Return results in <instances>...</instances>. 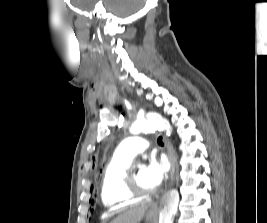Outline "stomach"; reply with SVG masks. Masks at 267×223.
I'll return each mask as SVG.
<instances>
[{
	"instance_id": "stomach-1",
	"label": "stomach",
	"mask_w": 267,
	"mask_h": 223,
	"mask_svg": "<svg viewBox=\"0 0 267 223\" xmlns=\"http://www.w3.org/2000/svg\"><path fill=\"white\" fill-rule=\"evenodd\" d=\"M156 218V211L154 209H151L146 214V220L149 223H152Z\"/></svg>"
}]
</instances>
